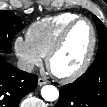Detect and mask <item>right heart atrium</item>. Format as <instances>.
<instances>
[{
  "label": "right heart atrium",
  "instance_id": "1",
  "mask_svg": "<svg viewBox=\"0 0 107 107\" xmlns=\"http://www.w3.org/2000/svg\"><path fill=\"white\" fill-rule=\"evenodd\" d=\"M13 47L16 56L26 70H32L42 64L43 56L33 47L27 38L16 37Z\"/></svg>",
  "mask_w": 107,
  "mask_h": 107
}]
</instances>
